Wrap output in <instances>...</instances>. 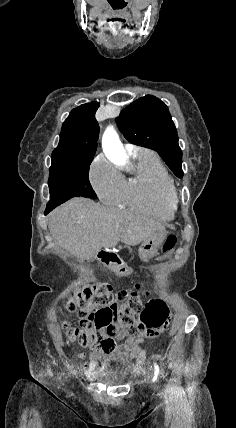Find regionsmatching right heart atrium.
<instances>
[{"label": "right heart atrium", "mask_w": 236, "mask_h": 428, "mask_svg": "<svg viewBox=\"0 0 236 428\" xmlns=\"http://www.w3.org/2000/svg\"><path fill=\"white\" fill-rule=\"evenodd\" d=\"M89 181L103 204L112 206L122 201L125 180L103 156L96 157L91 163Z\"/></svg>", "instance_id": "right-heart-atrium-1"}]
</instances>
